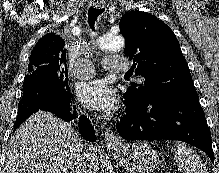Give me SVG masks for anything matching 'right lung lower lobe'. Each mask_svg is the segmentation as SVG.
<instances>
[{"instance_id": "right-lung-lower-lobe-1", "label": "right lung lower lobe", "mask_w": 219, "mask_h": 173, "mask_svg": "<svg viewBox=\"0 0 219 173\" xmlns=\"http://www.w3.org/2000/svg\"><path fill=\"white\" fill-rule=\"evenodd\" d=\"M74 109L76 107L72 103V95L65 96L58 87L40 83L37 87L24 92L19 102L14 131L24 120L39 110L49 111L62 120L70 122L77 118V112ZM78 127L84 139L90 142L96 141L94 128L86 116L79 117Z\"/></svg>"}]
</instances>
